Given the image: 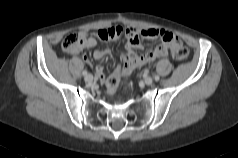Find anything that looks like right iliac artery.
<instances>
[{
  "label": "right iliac artery",
  "mask_w": 238,
  "mask_h": 158,
  "mask_svg": "<svg viewBox=\"0 0 238 158\" xmlns=\"http://www.w3.org/2000/svg\"><path fill=\"white\" fill-rule=\"evenodd\" d=\"M82 74H83L84 76H86V75H87V71L84 70V71L82 72Z\"/></svg>",
  "instance_id": "1"
}]
</instances>
